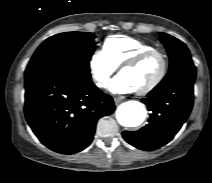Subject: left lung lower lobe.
I'll use <instances>...</instances> for the list:
<instances>
[{
    "label": "left lung lower lobe",
    "mask_w": 212,
    "mask_h": 183,
    "mask_svg": "<svg viewBox=\"0 0 212 183\" xmlns=\"http://www.w3.org/2000/svg\"><path fill=\"white\" fill-rule=\"evenodd\" d=\"M196 68L191 58L170 68L164 79L142 99L151 111L148 124L123 138L136 148L151 151L167 144L188 118L193 106Z\"/></svg>",
    "instance_id": "1"
}]
</instances>
